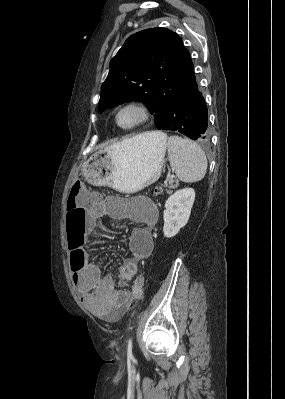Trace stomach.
Here are the masks:
<instances>
[{
	"label": "stomach",
	"mask_w": 285,
	"mask_h": 399,
	"mask_svg": "<svg viewBox=\"0 0 285 399\" xmlns=\"http://www.w3.org/2000/svg\"><path fill=\"white\" fill-rule=\"evenodd\" d=\"M167 136L138 135L95 152L83 165L86 180L95 186H111L135 193L161 176Z\"/></svg>",
	"instance_id": "1"
}]
</instances>
